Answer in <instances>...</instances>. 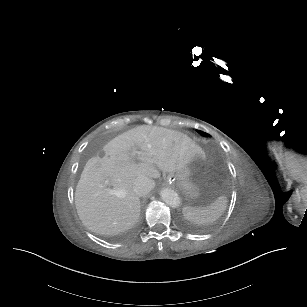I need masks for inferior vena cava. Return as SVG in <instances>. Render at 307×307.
Listing matches in <instances>:
<instances>
[{"label": "inferior vena cava", "instance_id": "602c4592", "mask_svg": "<svg viewBox=\"0 0 307 307\" xmlns=\"http://www.w3.org/2000/svg\"><path fill=\"white\" fill-rule=\"evenodd\" d=\"M155 187V183L152 179L146 176H139L135 179L133 184V191L138 196L148 194Z\"/></svg>", "mask_w": 307, "mask_h": 307}]
</instances>
